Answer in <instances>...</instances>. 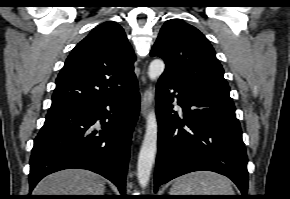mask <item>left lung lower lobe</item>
<instances>
[{
	"instance_id": "left-lung-lower-lobe-1",
	"label": "left lung lower lobe",
	"mask_w": 290,
	"mask_h": 199,
	"mask_svg": "<svg viewBox=\"0 0 290 199\" xmlns=\"http://www.w3.org/2000/svg\"><path fill=\"white\" fill-rule=\"evenodd\" d=\"M175 97L182 115L172 109ZM156 114L159 135L155 191L183 174L208 170L229 177L242 192V198H247V155L233 101L161 76L156 90Z\"/></svg>"
}]
</instances>
